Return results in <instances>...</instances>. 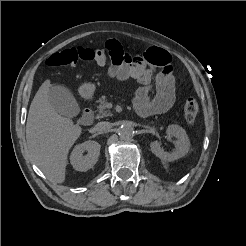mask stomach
Segmentation results:
<instances>
[{
    "label": "stomach",
    "mask_w": 246,
    "mask_h": 246,
    "mask_svg": "<svg viewBox=\"0 0 246 246\" xmlns=\"http://www.w3.org/2000/svg\"><path fill=\"white\" fill-rule=\"evenodd\" d=\"M96 87L93 83H84L80 87V93L84 96H90L94 93Z\"/></svg>",
    "instance_id": "obj_1"
}]
</instances>
